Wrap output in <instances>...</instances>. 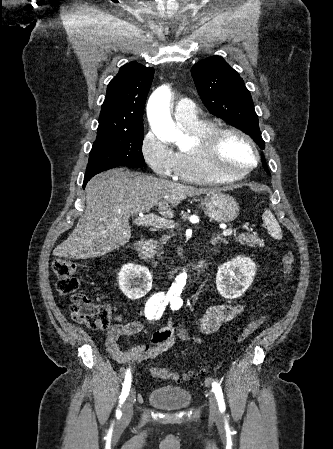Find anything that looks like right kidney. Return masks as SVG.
Listing matches in <instances>:
<instances>
[{
  "instance_id": "right-kidney-1",
  "label": "right kidney",
  "mask_w": 333,
  "mask_h": 449,
  "mask_svg": "<svg viewBox=\"0 0 333 449\" xmlns=\"http://www.w3.org/2000/svg\"><path fill=\"white\" fill-rule=\"evenodd\" d=\"M118 279L120 290L132 300L143 297L152 287L151 273L147 267L141 265H124Z\"/></svg>"
}]
</instances>
